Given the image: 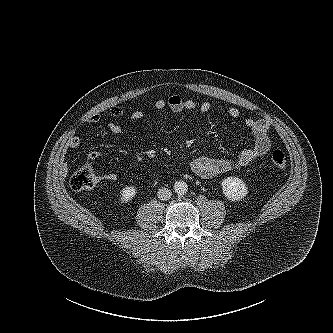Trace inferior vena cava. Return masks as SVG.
<instances>
[{
  "mask_svg": "<svg viewBox=\"0 0 333 333\" xmlns=\"http://www.w3.org/2000/svg\"><path fill=\"white\" fill-rule=\"evenodd\" d=\"M157 196L162 201H167L171 198L172 192L167 188H160L158 190Z\"/></svg>",
  "mask_w": 333,
  "mask_h": 333,
  "instance_id": "inferior-vena-cava-1",
  "label": "inferior vena cava"
}]
</instances>
